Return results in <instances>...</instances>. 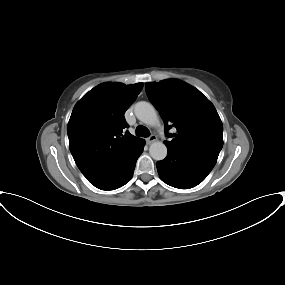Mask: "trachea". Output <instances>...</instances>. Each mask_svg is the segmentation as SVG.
Wrapping results in <instances>:
<instances>
[{
  "instance_id": "3493384b",
  "label": "trachea",
  "mask_w": 285,
  "mask_h": 285,
  "mask_svg": "<svg viewBox=\"0 0 285 285\" xmlns=\"http://www.w3.org/2000/svg\"><path fill=\"white\" fill-rule=\"evenodd\" d=\"M136 135L139 137H148L150 135V131L145 126H137L136 127Z\"/></svg>"
}]
</instances>
